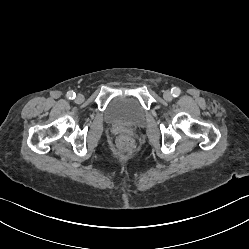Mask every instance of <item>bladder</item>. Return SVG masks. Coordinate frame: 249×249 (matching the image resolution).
Segmentation results:
<instances>
[{
  "label": "bladder",
  "mask_w": 249,
  "mask_h": 249,
  "mask_svg": "<svg viewBox=\"0 0 249 249\" xmlns=\"http://www.w3.org/2000/svg\"><path fill=\"white\" fill-rule=\"evenodd\" d=\"M146 116V110L134 97L129 95L113 98L104 111L107 122L132 127L142 125Z\"/></svg>",
  "instance_id": "31cf9c89"
}]
</instances>
